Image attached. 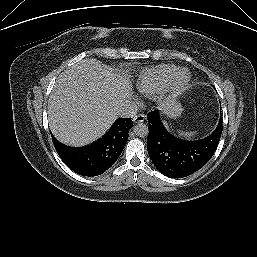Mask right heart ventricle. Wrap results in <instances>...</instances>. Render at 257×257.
Segmentation results:
<instances>
[{"label": "right heart ventricle", "mask_w": 257, "mask_h": 257, "mask_svg": "<svg viewBox=\"0 0 257 257\" xmlns=\"http://www.w3.org/2000/svg\"><path fill=\"white\" fill-rule=\"evenodd\" d=\"M177 70L171 64H162L143 70L137 78L136 89L145 97H155L162 92L168 78Z\"/></svg>", "instance_id": "obj_1"}]
</instances>
